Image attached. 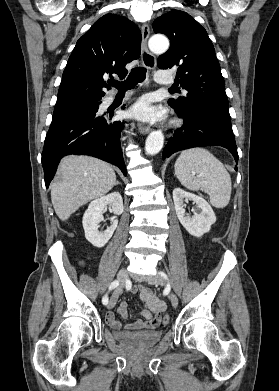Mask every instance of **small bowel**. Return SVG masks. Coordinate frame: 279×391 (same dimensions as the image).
I'll use <instances>...</instances> for the list:
<instances>
[{
    "label": "small bowel",
    "mask_w": 279,
    "mask_h": 391,
    "mask_svg": "<svg viewBox=\"0 0 279 391\" xmlns=\"http://www.w3.org/2000/svg\"><path fill=\"white\" fill-rule=\"evenodd\" d=\"M132 292H139L141 299L146 303L145 308L140 312V315L145 320L138 319L134 322L122 324L114 315L113 312L106 314V320L110 326L115 329H154L161 323V314L166 309V304L163 300L158 298L149 288L141 285L131 287ZM117 312L120 316L126 318L128 316V308L126 302H121L117 307Z\"/></svg>",
    "instance_id": "c3829d8e"
}]
</instances>
